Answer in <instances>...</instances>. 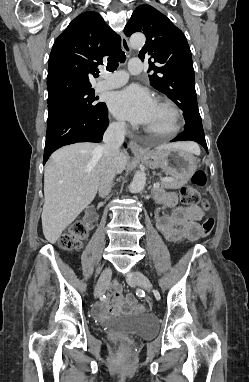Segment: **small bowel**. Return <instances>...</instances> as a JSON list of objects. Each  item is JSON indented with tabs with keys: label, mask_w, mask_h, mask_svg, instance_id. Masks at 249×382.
I'll use <instances>...</instances> for the list:
<instances>
[{
	"label": "small bowel",
	"mask_w": 249,
	"mask_h": 382,
	"mask_svg": "<svg viewBox=\"0 0 249 382\" xmlns=\"http://www.w3.org/2000/svg\"><path fill=\"white\" fill-rule=\"evenodd\" d=\"M159 202L172 209L169 215L159 216L157 227L170 241L197 240L201 235L199 221L203 211L198 206H178L174 194L165 193L159 196ZM111 298L100 302L97 306L100 315L118 313L121 310L131 312L135 306V298L129 295L124 300L122 288L118 282L110 286Z\"/></svg>",
	"instance_id": "c3829d8e"
}]
</instances>
